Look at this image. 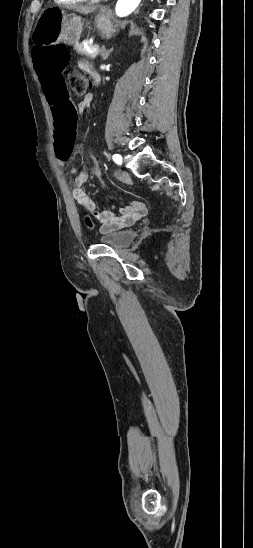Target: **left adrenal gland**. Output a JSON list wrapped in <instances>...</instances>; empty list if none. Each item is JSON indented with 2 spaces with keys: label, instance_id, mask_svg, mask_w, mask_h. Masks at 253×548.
<instances>
[{
  "label": "left adrenal gland",
  "instance_id": "obj_1",
  "mask_svg": "<svg viewBox=\"0 0 253 548\" xmlns=\"http://www.w3.org/2000/svg\"><path fill=\"white\" fill-rule=\"evenodd\" d=\"M113 51V48L110 49V50H106L105 46H102V49L100 51L101 53V56H102V60L105 61L106 59H108L110 53Z\"/></svg>",
  "mask_w": 253,
  "mask_h": 548
}]
</instances>
